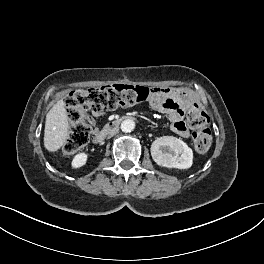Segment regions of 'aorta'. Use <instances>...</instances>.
I'll return each instance as SVG.
<instances>
[{
    "instance_id": "aorta-1",
    "label": "aorta",
    "mask_w": 264,
    "mask_h": 264,
    "mask_svg": "<svg viewBox=\"0 0 264 264\" xmlns=\"http://www.w3.org/2000/svg\"><path fill=\"white\" fill-rule=\"evenodd\" d=\"M135 128V122L131 119H126L121 123V130L125 133L133 131Z\"/></svg>"
}]
</instances>
